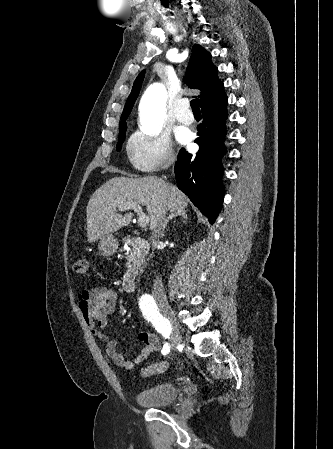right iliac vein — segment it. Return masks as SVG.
I'll return each mask as SVG.
<instances>
[{
  "label": "right iliac vein",
  "mask_w": 333,
  "mask_h": 449,
  "mask_svg": "<svg viewBox=\"0 0 333 449\" xmlns=\"http://www.w3.org/2000/svg\"><path fill=\"white\" fill-rule=\"evenodd\" d=\"M160 311L163 313V315L168 320L171 332L169 336V344L171 347H175L178 343L181 342V333L179 330V327L174 323L173 321V311L171 306L166 302H160L159 303Z\"/></svg>",
  "instance_id": "right-iliac-vein-1"
}]
</instances>
